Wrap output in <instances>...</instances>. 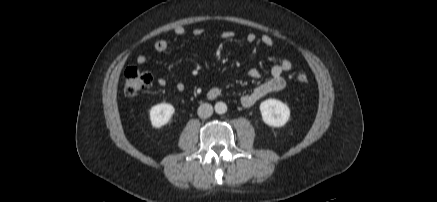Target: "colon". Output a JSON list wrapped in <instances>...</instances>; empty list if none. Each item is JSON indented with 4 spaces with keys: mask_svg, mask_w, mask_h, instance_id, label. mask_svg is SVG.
Masks as SVG:
<instances>
[{
    "mask_svg": "<svg viewBox=\"0 0 437 202\" xmlns=\"http://www.w3.org/2000/svg\"><path fill=\"white\" fill-rule=\"evenodd\" d=\"M300 84H307L309 78L304 73H299L296 77ZM124 92L127 96H135L147 89L153 81L151 74L147 71H142L135 66L126 68L124 73Z\"/></svg>",
    "mask_w": 437,
    "mask_h": 202,
    "instance_id": "obj_1",
    "label": "colon"
}]
</instances>
